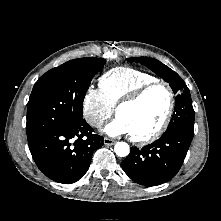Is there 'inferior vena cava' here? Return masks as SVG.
I'll use <instances>...</instances> for the list:
<instances>
[{"instance_id": "inferior-vena-cava-1", "label": "inferior vena cava", "mask_w": 221, "mask_h": 221, "mask_svg": "<svg viewBox=\"0 0 221 221\" xmlns=\"http://www.w3.org/2000/svg\"><path fill=\"white\" fill-rule=\"evenodd\" d=\"M102 124H103V121L99 120V119H96V120L92 121V125L95 126V127H100V126H102Z\"/></svg>"}]
</instances>
